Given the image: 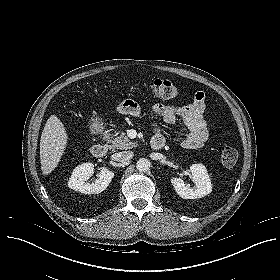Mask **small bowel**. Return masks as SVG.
<instances>
[{
  "label": "small bowel",
  "mask_w": 280,
  "mask_h": 280,
  "mask_svg": "<svg viewBox=\"0 0 280 280\" xmlns=\"http://www.w3.org/2000/svg\"><path fill=\"white\" fill-rule=\"evenodd\" d=\"M128 102L133 104L129 115L139 116L141 111L138 105L133 101ZM205 109L206 94L202 90L196 91L191 102L187 105L176 107L157 103L152 107L153 112L167 124H175L178 119L182 120L188 129V134L182 140L181 146L187 149L202 148L209 139V130L204 119ZM118 111L121 112V107L118 108ZM154 137H162L164 139L157 126L155 127Z\"/></svg>",
  "instance_id": "1"
}]
</instances>
